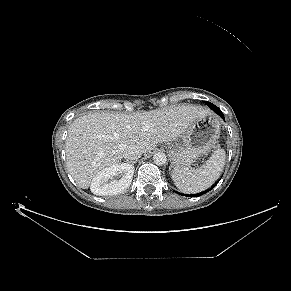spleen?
Here are the masks:
<instances>
[{
	"label": "spleen",
	"mask_w": 291,
	"mask_h": 291,
	"mask_svg": "<svg viewBox=\"0 0 291 291\" xmlns=\"http://www.w3.org/2000/svg\"><path fill=\"white\" fill-rule=\"evenodd\" d=\"M226 154L223 149H217L200 168H174L172 179L176 187L185 194H196L207 190L220 177Z\"/></svg>",
	"instance_id": "3e777b00"
}]
</instances>
